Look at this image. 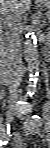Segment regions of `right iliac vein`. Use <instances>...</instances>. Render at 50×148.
I'll list each match as a JSON object with an SVG mask.
<instances>
[{
    "mask_svg": "<svg viewBox=\"0 0 50 148\" xmlns=\"http://www.w3.org/2000/svg\"><path fill=\"white\" fill-rule=\"evenodd\" d=\"M14 115H15V108L13 106H11L8 111H7V114H6V121L7 123H11L13 118H14ZM1 139L4 137V133L1 131Z\"/></svg>",
    "mask_w": 50,
    "mask_h": 148,
    "instance_id": "right-iliac-vein-1",
    "label": "right iliac vein"
}]
</instances>
